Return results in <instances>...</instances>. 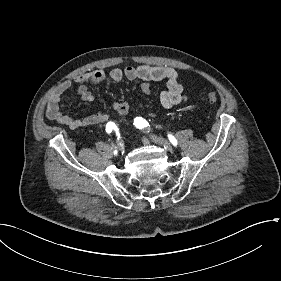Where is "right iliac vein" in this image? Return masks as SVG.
<instances>
[{
  "label": "right iliac vein",
  "mask_w": 281,
  "mask_h": 281,
  "mask_svg": "<svg viewBox=\"0 0 281 281\" xmlns=\"http://www.w3.org/2000/svg\"><path fill=\"white\" fill-rule=\"evenodd\" d=\"M117 147H118V149L120 151H122V152L124 151V148H123L122 144L119 141H117Z\"/></svg>",
  "instance_id": "63e3f726"
}]
</instances>
